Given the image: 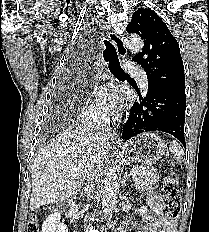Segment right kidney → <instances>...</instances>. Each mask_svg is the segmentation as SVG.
Returning a JSON list of instances; mask_svg holds the SVG:
<instances>
[{"label": "right kidney", "instance_id": "ca27d5eb", "mask_svg": "<svg viewBox=\"0 0 209 232\" xmlns=\"http://www.w3.org/2000/svg\"><path fill=\"white\" fill-rule=\"evenodd\" d=\"M60 213L50 214L42 224V232H68L66 224L60 222Z\"/></svg>", "mask_w": 209, "mask_h": 232}]
</instances>
